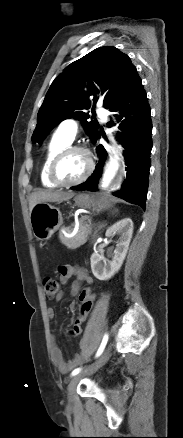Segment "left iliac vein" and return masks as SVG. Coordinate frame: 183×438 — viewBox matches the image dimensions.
Instances as JSON below:
<instances>
[{"mask_svg": "<svg viewBox=\"0 0 183 438\" xmlns=\"http://www.w3.org/2000/svg\"><path fill=\"white\" fill-rule=\"evenodd\" d=\"M110 357V348L108 347L104 353L101 355V357L93 364L91 365L87 370H85L82 373H78L77 375H75L69 382L68 387H67V392H68V401L71 404L74 400V393L76 390V387L79 383V381L90 374H93L94 372H96L99 368H101L109 359Z\"/></svg>", "mask_w": 183, "mask_h": 438, "instance_id": "4c4485c4", "label": "left iliac vein"}]
</instances>
